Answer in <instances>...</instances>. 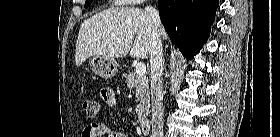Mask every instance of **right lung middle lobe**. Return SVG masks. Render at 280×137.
Returning a JSON list of instances; mask_svg holds the SVG:
<instances>
[{
    "mask_svg": "<svg viewBox=\"0 0 280 137\" xmlns=\"http://www.w3.org/2000/svg\"><path fill=\"white\" fill-rule=\"evenodd\" d=\"M92 2H93V0H86L85 8L88 7Z\"/></svg>",
    "mask_w": 280,
    "mask_h": 137,
    "instance_id": "1",
    "label": "right lung middle lobe"
}]
</instances>
